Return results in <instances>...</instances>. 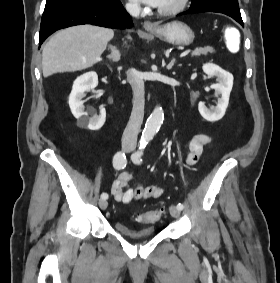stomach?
<instances>
[{
  "instance_id": "1",
  "label": "stomach",
  "mask_w": 280,
  "mask_h": 283,
  "mask_svg": "<svg viewBox=\"0 0 280 283\" xmlns=\"http://www.w3.org/2000/svg\"><path fill=\"white\" fill-rule=\"evenodd\" d=\"M151 33L161 40L177 45H190L195 38L192 29L180 21L159 25Z\"/></svg>"
}]
</instances>
